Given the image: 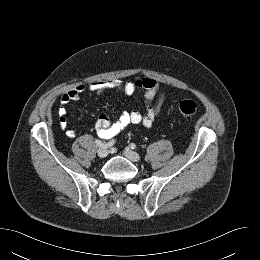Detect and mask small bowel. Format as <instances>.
<instances>
[{
    "label": "small bowel",
    "mask_w": 260,
    "mask_h": 260,
    "mask_svg": "<svg viewBox=\"0 0 260 260\" xmlns=\"http://www.w3.org/2000/svg\"><path fill=\"white\" fill-rule=\"evenodd\" d=\"M86 90L98 93L108 90H117L123 92L127 96L132 95L137 90L144 91L145 112L141 113L136 110L125 111L115 121H110L104 114L97 117L95 128L98 135L102 138L113 137L131 125L139 124L146 128L151 127L155 119L161 113L162 107L166 101V93L161 91L159 83L151 77H145L135 81H125L113 78L107 80H94L87 84L79 83L61 96L58 115L62 128H67L66 105L72 101L79 100L81 94ZM67 134L69 137L73 138L77 133L74 130H68Z\"/></svg>",
    "instance_id": "obj_1"
}]
</instances>
